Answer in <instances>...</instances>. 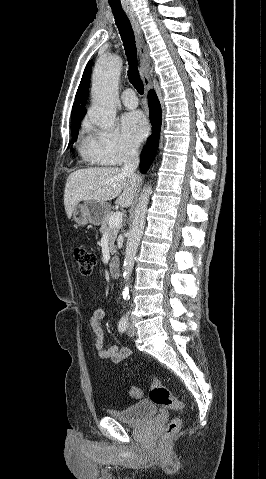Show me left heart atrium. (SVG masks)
Returning <instances> with one entry per match:
<instances>
[{
  "instance_id": "39dd6f15",
  "label": "left heart atrium",
  "mask_w": 266,
  "mask_h": 479,
  "mask_svg": "<svg viewBox=\"0 0 266 479\" xmlns=\"http://www.w3.org/2000/svg\"><path fill=\"white\" fill-rule=\"evenodd\" d=\"M122 130L130 144H138L148 132V123L145 115L140 111L126 113L122 117Z\"/></svg>"
}]
</instances>
